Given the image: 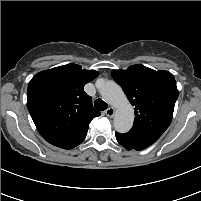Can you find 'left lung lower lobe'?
<instances>
[{"mask_svg": "<svg viewBox=\"0 0 201 201\" xmlns=\"http://www.w3.org/2000/svg\"><path fill=\"white\" fill-rule=\"evenodd\" d=\"M160 136L153 134L128 132L120 134L116 132L117 141L127 150H142L153 144Z\"/></svg>", "mask_w": 201, "mask_h": 201, "instance_id": "0a47b994", "label": "left lung lower lobe"}]
</instances>
